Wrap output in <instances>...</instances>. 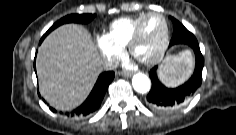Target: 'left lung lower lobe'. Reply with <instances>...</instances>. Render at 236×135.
I'll return each instance as SVG.
<instances>
[{
  "label": "left lung lower lobe",
  "mask_w": 236,
  "mask_h": 135,
  "mask_svg": "<svg viewBox=\"0 0 236 135\" xmlns=\"http://www.w3.org/2000/svg\"><path fill=\"white\" fill-rule=\"evenodd\" d=\"M174 33L170 46L184 44L190 46L196 56V66L191 78L183 85L171 89L165 87L157 77V66L151 69L149 76L152 81V88L147 95V104L160 112H170L184 105L190 100L202 83V69L204 59L200 52L199 44L194 35L189 32L179 21L171 18Z\"/></svg>",
  "instance_id": "0a47b994"
}]
</instances>
